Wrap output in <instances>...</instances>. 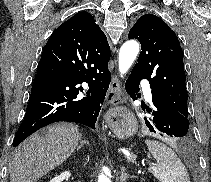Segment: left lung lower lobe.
<instances>
[{
    "mask_svg": "<svg viewBox=\"0 0 211 182\" xmlns=\"http://www.w3.org/2000/svg\"><path fill=\"white\" fill-rule=\"evenodd\" d=\"M143 79L136 71L131 72L126 81L125 88L127 93L136 100L139 97V83ZM153 106L146 108L151 117L145 118L149 130L160 135L179 137L178 142L181 146L188 147L190 139L188 136L189 120L188 117L180 113L176 108L167 102L152 95Z\"/></svg>",
    "mask_w": 211,
    "mask_h": 182,
    "instance_id": "left-lung-lower-lobe-1",
    "label": "left lung lower lobe"
}]
</instances>
